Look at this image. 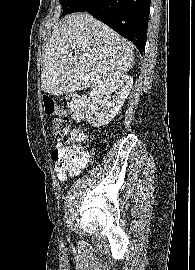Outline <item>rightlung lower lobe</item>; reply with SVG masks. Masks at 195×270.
<instances>
[{"label": "right lung lower lobe", "mask_w": 195, "mask_h": 270, "mask_svg": "<svg viewBox=\"0 0 195 270\" xmlns=\"http://www.w3.org/2000/svg\"><path fill=\"white\" fill-rule=\"evenodd\" d=\"M151 0H78L73 12H88L132 41L142 54Z\"/></svg>", "instance_id": "obj_1"}]
</instances>
